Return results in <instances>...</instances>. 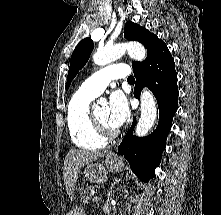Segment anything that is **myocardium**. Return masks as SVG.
Listing matches in <instances>:
<instances>
[{
	"label": "myocardium",
	"instance_id": "myocardium-1",
	"mask_svg": "<svg viewBox=\"0 0 221 215\" xmlns=\"http://www.w3.org/2000/svg\"><path fill=\"white\" fill-rule=\"evenodd\" d=\"M91 118L96 127L97 132L101 137L105 139H113L118 135V131L114 128L108 127L103 122H101L94 111H91Z\"/></svg>",
	"mask_w": 221,
	"mask_h": 215
}]
</instances>
